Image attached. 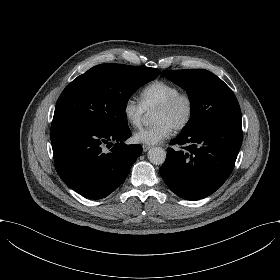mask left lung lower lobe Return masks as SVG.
I'll use <instances>...</instances> for the list:
<instances>
[{
	"label": "left lung lower lobe",
	"instance_id": "1",
	"mask_svg": "<svg viewBox=\"0 0 280 280\" xmlns=\"http://www.w3.org/2000/svg\"><path fill=\"white\" fill-rule=\"evenodd\" d=\"M241 116L210 122L199 129L180 133L171 144L187 150L168 148L160 174L179 197L198 200L215 192L231 174L242 144Z\"/></svg>",
	"mask_w": 280,
	"mask_h": 280
}]
</instances>
